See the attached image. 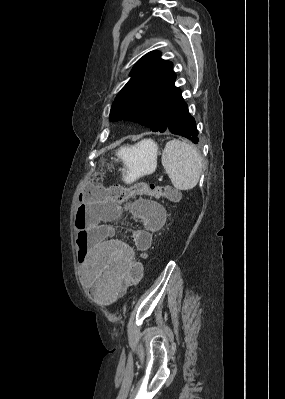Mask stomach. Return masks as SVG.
I'll use <instances>...</instances> for the list:
<instances>
[{"label": "stomach", "instance_id": "stomach-1", "mask_svg": "<svg viewBox=\"0 0 285 399\" xmlns=\"http://www.w3.org/2000/svg\"><path fill=\"white\" fill-rule=\"evenodd\" d=\"M157 149V145L151 140H144L130 147H122L118 155L125 165L124 180L132 182L153 173L157 166Z\"/></svg>", "mask_w": 285, "mask_h": 399}]
</instances>
